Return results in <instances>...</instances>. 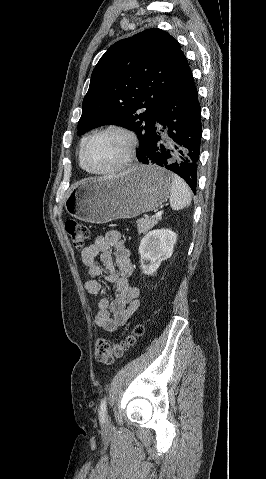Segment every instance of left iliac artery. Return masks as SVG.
Segmentation results:
<instances>
[{
	"instance_id": "1",
	"label": "left iliac artery",
	"mask_w": 266,
	"mask_h": 479,
	"mask_svg": "<svg viewBox=\"0 0 266 479\" xmlns=\"http://www.w3.org/2000/svg\"><path fill=\"white\" fill-rule=\"evenodd\" d=\"M106 413H107V402L106 399L104 398L99 407V417L101 420H105L106 418Z\"/></svg>"
}]
</instances>
